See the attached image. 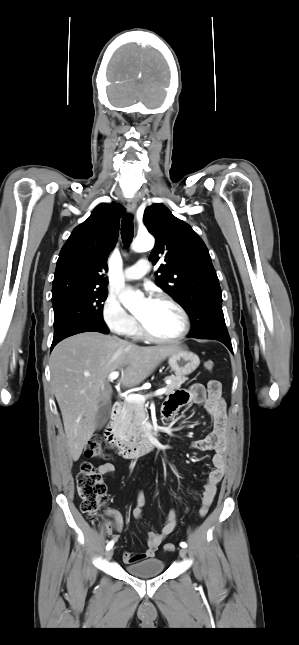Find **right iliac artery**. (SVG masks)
Returning <instances> with one entry per match:
<instances>
[{"label":"right iliac artery","instance_id":"1","mask_svg":"<svg viewBox=\"0 0 299 645\" xmlns=\"http://www.w3.org/2000/svg\"><path fill=\"white\" fill-rule=\"evenodd\" d=\"M113 544H114V542H113V541H110V542L107 544L106 549H107V550L111 549V548L113 547Z\"/></svg>","mask_w":299,"mask_h":645}]
</instances>
